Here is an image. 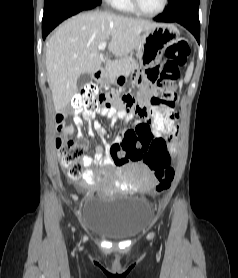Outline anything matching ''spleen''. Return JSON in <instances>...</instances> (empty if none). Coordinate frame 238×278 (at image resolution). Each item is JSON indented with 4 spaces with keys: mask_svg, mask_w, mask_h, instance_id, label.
<instances>
[{
    "mask_svg": "<svg viewBox=\"0 0 238 278\" xmlns=\"http://www.w3.org/2000/svg\"><path fill=\"white\" fill-rule=\"evenodd\" d=\"M194 63L192 62L186 72L185 82H188L192 76Z\"/></svg>",
    "mask_w": 238,
    "mask_h": 278,
    "instance_id": "1",
    "label": "spleen"
}]
</instances>
